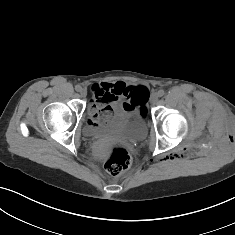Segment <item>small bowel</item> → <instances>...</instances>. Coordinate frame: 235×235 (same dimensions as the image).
<instances>
[{"mask_svg": "<svg viewBox=\"0 0 235 235\" xmlns=\"http://www.w3.org/2000/svg\"><path fill=\"white\" fill-rule=\"evenodd\" d=\"M138 87L140 86H128L123 82L93 84V96L90 103L91 115L95 119L96 114L103 108H109L112 114L117 109L128 111L126 107L128 98ZM122 99H125L123 103H121Z\"/></svg>", "mask_w": 235, "mask_h": 235, "instance_id": "obj_1", "label": "small bowel"}]
</instances>
